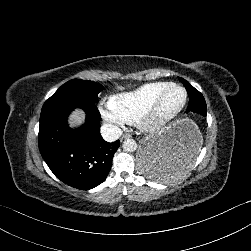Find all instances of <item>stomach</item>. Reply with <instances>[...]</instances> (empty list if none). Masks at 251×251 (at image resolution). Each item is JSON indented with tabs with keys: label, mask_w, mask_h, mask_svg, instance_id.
<instances>
[{
	"label": "stomach",
	"mask_w": 251,
	"mask_h": 251,
	"mask_svg": "<svg viewBox=\"0 0 251 251\" xmlns=\"http://www.w3.org/2000/svg\"><path fill=\"white\" fill-rule=\"evenodd\" d=\"M203 137L193 118L181 116L163 132L140 141L138 166L148 178L179 179L200 158Z\"/></svg>",
	"instance_id": "stomach-1"
}]
</instances>
